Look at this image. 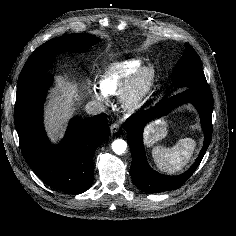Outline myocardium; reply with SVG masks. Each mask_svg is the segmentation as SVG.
Here are the masks:
<instances>
[{
    "mask_svg": "<svg viewBox=\"0 0 236 236\" xmlns=\"http://www.w3.org/2000/svg\"><path fill=\"white\" fill-rule=\"evenodd\" d=\"M158 81L154 66H142L130 79L121 95V103L128 111L142 107L153 92Z\"/></svg>",
    "mask_w": 236,
    "mask_h": 236,
    "instance_id": "myocardium-1",
    "label": "myocardium"
}]
</instances>
